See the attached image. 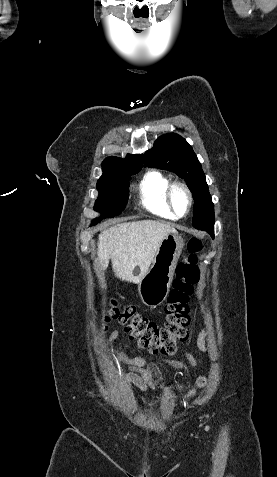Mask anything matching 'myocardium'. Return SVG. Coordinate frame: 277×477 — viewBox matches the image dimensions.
<instances>
[{
  "mask_svg": "<svg viewBox=\"0 0 277 477\" xmlns=\"http://www.w3.org/2000/svg\"><path fill=\"white\" fill-rule=\"evenodd\" d=\"M178 188L182 189L185 192V194L187 196V199H188V207H187L186 212L183 213V214L178 213V211L175 208L174 202H173V193ZM165 196H166V202H167L168 207L170 208V210L177 217L181 218V217H184V216H186L190 213V211L193 207V195H192V192H191L189 186L186 183H184L182 181L171 182L166 189Z\"/></svg>",
  "mask_w": 277,
  "mask_h": 477,
  "instance_id": "obj_1",
  "label": "myocardium"
}]
</instances>
